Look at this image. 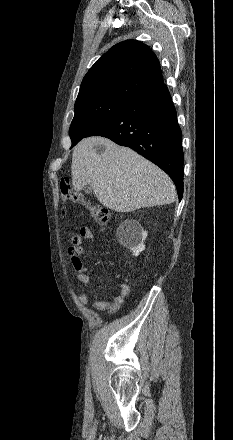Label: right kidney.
Returning a JSON list of instances; mask_svg holds the SVG:
<instances>
[{"mask_svg": "<svg viewBox=\"0 0 233 440\" xmlns=\"http://www.w3.org/2000/svg\"><path fill=\"white\" fill-rule=\"evenodd\" d=\"M118 241L138 256L145 249L144 241L147 238V232L139 225L137 221L126 220L122 222L117 229Z\"/></svg>", "mask_w": 233, "mask_h": 440, "instance_id": "obj_1", "label": "right kidney"}]
</instances>
